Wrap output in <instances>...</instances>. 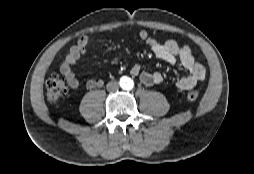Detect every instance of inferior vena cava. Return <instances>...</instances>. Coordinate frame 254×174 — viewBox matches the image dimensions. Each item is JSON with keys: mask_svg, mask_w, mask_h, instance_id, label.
Returning <instances> with one entry per match:
<instances>
[{"mask_svg": "<svg viewBox=\"0 0 254 174\" xmlns=\"http://www.w3.org/2000/svg\"><path fill=\"white\" fill-rule=\"evenodd\" d=\"M106 88L108 91H111V92L116 91L119 89V83L116 81H111L107 84Z\"/></svg>", "mask_w": 254, "mask_h": 174, "instance_id": "inferior-vena-cava-1", "label": "inferior vena cava"}]
</instances>
